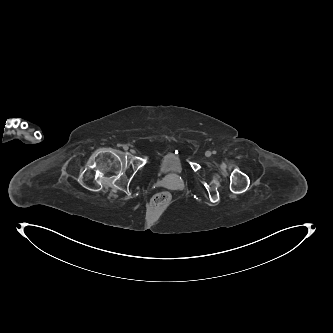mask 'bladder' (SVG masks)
I'll list each match as a JSON object with an SVG mask.
<instances>
[{
  "mask_svg": "<svg viewBox=\"0 0 333 333\" xmlns=\"http://www.w3.org/2000/svg\"><path fill=\"white\" fill-rule=\"evenodd\" d=\"M183 170V163L180 156L173 152L166 153L158 165V172L161 176H168L170 174L181 175Z\"/></svg>",
  "mask_w": 333,
  "mask_h": 333,
  "instance_id": "1",
  "label": "bladder"
}]
</instances>
